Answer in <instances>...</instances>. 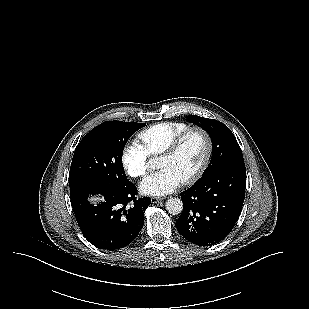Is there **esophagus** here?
I'll return each mask as SVG.
<instances>
[{"mask_svg": "<svg viewBox=\"0 0 309 309\" xmlns=\"http://www.w3.org/2000/svg\"><path fill=\"white\" fill-rule=\"evenodd\" d=\"M163 198H159V197H151V202L152 203H157L159 201H161Z\"/></svg>", "mask_w": 309, "mask_h": 309, "instance_id": "1", "label": "esophagus"}]
</instances>
